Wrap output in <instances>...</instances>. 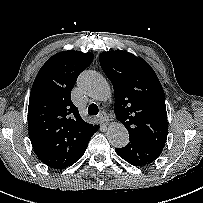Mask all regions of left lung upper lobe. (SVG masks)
<instances>
[{
    "mask_svg": "<svg viewBox=\"0 0 203 203\" xmlns=\"http://www.w3.org/2000/svg\"><path fill=\"white\" fill-rule=\"evenodd\" d=\"M99 60L113 84L116 118L128 130L129 138L163 150L167 112L164 91L154 70L145 60L123 50L103 52Z\"/></svg>",
    "mask_w": 203,
    "mask_h": 203,
    "instance_id": "5c2ea615",
    "label": "left lung upper lobe"
}]
</instances>
